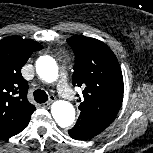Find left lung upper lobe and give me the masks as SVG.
Here are the masks:
<instances>
[{
	"label": "left lung upper lobe",
	"instance_id": "5c2ea615",
	"mask_svg": "<svg viewBox=\"0 0 153 153\" xmlns=\"http://www.w3.org/2000/svg\"><path fill=\"white\" fill-rule=\"evenodd\" d=\"M67 42L75 53L72 83L83 88V98L77 100L80 116L68 133L76 140H88L106 129L119 112L123 76L115 54L102 41L76 35Z\"/></svg>",
	"mask_w": 153,
	"mask_h": 153
}]
</instances>
